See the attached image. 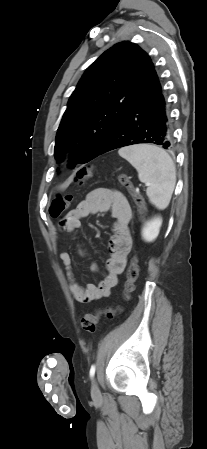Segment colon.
<instances>
[{
  "label": "colon",
  "instance_id": "5ec220e1",
  "mask_svg": "<svg viewBox=\"0 0 207 449\" xmlns=\"http://www.w3.org/2000/svg\"><path fill=\"white\" fill-rule=\"evenodd\" d=\"M92 172V169L90 167H83L78 170L74 182L76 184H82L87 178L90 177ZM118 182L121 186H123L132 199L134 200V203L136 204L139 215L143 216L145 205L143 197L140 195V193L137 192V190L133 187L131 181L129 178L124 174H119L117 176ZM74 199L73 194H64V195H58L52 202L50 207V214L53 218L60 217L71 205L72 201ZM139 274V265H138V258L134 256L131 259L128 271H127V280L125 282L124 286V292H125V299L129 298L130 293L134 289L135 281L138 278ZM121 309L120 308H106L104 310L98 311L94 314H86L81 318V327L84 332L86 333H93L96 329V325L100 319L101 316H105L108 319H114L119 313Z\"/></svg>",
  "mask_w": 207,
  "mask_h": 449
}]
</instances>
